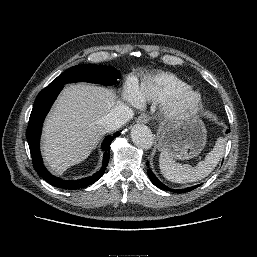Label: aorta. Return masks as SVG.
Here are the masks:
<instances>
[{
	"label": "aorta",
	"mask_w": 257,
	"mask_h": 257,
	"mask_svg": "<svg viewBox=\"0 0 257 257\" xmlns=\"http://www.w3.org/2000/svg\"><path fill=\"white\" fill-rule=\"evenodd\" d=\"M131 139L135 145L143 149H149L153 145V134L151 130L143 124H136L131 129Z\"/></svg>",
	"instance_id": "aorta-1"
}]
</instances>
